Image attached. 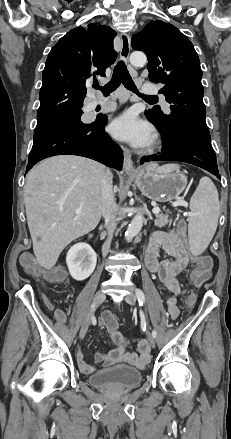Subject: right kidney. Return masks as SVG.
<instances>
[{
	"label": "right kidney",
	"instance_id": "obj_1",
	"mask_svg": "<svg viewBox=\"0 0 231 439\" xmlns=\"http://www.w3.org/2000/svg\"><path fill=\"white\" fill-rule=\"evenodd\" d=\"M96 262L97 255L87 243L73 245L66 256L69 272L77 281L88 278L93 273Z\"/></svg>",
	"mask_w": 231,
	"mask_h": 439
}]
</instances>
